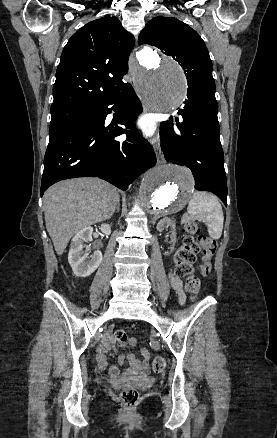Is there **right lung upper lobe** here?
<instances>
[{
  "instance_id": "right-lung-upper-lobe-1",
  "label": "right lung upper lobe",
  "mask_w": 277,
  "mask_h": 438,
  "mask_svg": "<svg viewBox=\"0 0 277 438\" xmlns=\"http://www.w3.org/2000/svg\"><path fill=\"white\" fill-rule=\"evenodd\" d=\"M134 44V37L116 17L105 16L80 28L63 49L51 112L91 109L96 102L121 91L127 85L122 77L128 71Z\"/></svg>"
}]
</instances>
